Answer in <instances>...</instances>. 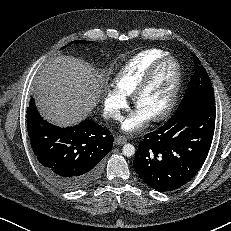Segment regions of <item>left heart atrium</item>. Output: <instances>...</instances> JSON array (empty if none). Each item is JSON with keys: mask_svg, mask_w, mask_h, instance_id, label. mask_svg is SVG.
I'll use <instances>...</instances> for the list:
<instances>
[{"mask_svg": "<svg viewBox=\"0 0 231 231\" xmlns=\"http://www.w3.org/2000/svg\"><path fill=\"white\" fill-rule=\"evenodd\" d=\"M150 117L143 111L137 109L122 124V129L125 132L132 133L142 128Z\"/></svg>", "mask_w": 231, "mask_h": 231, "instance_id": "obj_1", "label": "left heart atrium"}]
</instances>
